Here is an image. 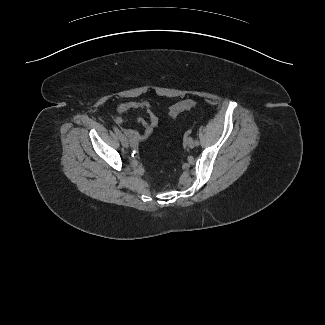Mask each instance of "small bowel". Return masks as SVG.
<instances>
[{
	"label": "small bowel",
	"instance_id": "obj_1",
	"mask_svg": "<svg viewBox=\"0 0 325 325\" xmlns=\"http://www.w3.org/2000/svg\"><path fill=\"white\" fill-rule=\"evenodd\" d=\"M134 109H140L147 113L148 120H145L143 118H135L134 121L141 124L144 128L143 132H138L133 129L124 128L123 132L126 136L130 139L133 146H136L140 141L144 140L146 137H148L154 129L158 125V116L156 113L152 110V107L149 102L147 101H126L121 102L116 106V114H115V121L119 124H123L127 121H129L127 118L120 116L121 113L134 110Z\"/></svg>",
	"mask_w": 325,
	"mask_h": 325
}]
</instances>
